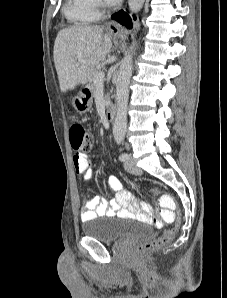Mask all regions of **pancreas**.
Here are the masks:
<instances>
[{
  "label": "pancreas",
  "instance_id": "cf45deb5",
  "mask_svg": "<svg viewBox=\"0 0 227 298\" xmlns=\"http://www.w3.org/2000/svg\"><path fill=\"white\" fill-rule=\"evenodd\" d=\"M101 72L100 69H96L93 71L91 77H90V82H89V88L92 92V94L95 96L96 93H97V89H98V85L94 82V79H95V76ZM105 99H106V102L108 103L110 101V97H109V94H106L105 95Z\"/></svg>",
  "mask_w": 227,
  "mask_h": 298
}]
</instances>
